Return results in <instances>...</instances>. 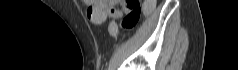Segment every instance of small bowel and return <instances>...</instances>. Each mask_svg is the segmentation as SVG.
I'll list each match as a JSON object with an SVG mask.
<instances>
[{"instance_id": "small-bowel-1", "label": "small bowel", "mask_w": 238, "mask_h": 70, "mask_svg": "<svg viewBox=\"0 0 238 70\" xmlns=\"http://www.w3.org/2000/svg\"><path fill=\"white\" fill-rule=\"evenodd\" d=\"M85 4L88 5L87 17L94 24H102L107 18L116 21L129 12L125 0H85ZM117 5L123 9H117Z\"/></svg>"}]
</instances>
